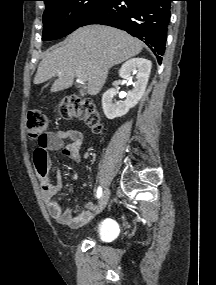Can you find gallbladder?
Instances as JSON below:
<instances>
[{
	"mask_svg": "<svg viewBox=\"0 0 216 285\" xmlns=\"http://www.w3.org/2000/svg\"><path fill=\"white\" fill-rule=\"evenodd\" d=\"M85 93H86V91H85L84 89H81V90H80V94H81V95H84Z\"/></svg>",
	"mask_w": 216,
	"mask_h": 285,
	"instance_id": "gallbladder-1",
	"label": "gallbladder"
}]
</instances>
